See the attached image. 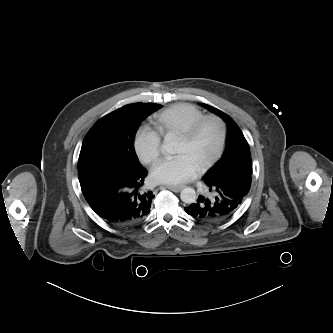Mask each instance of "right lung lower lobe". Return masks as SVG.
I'll list each match as a JSON object with an SVG mask.
<instances>
[{"label":"right lung lower lobe","instance_id":"1","mask_svg":"<svg viewBox=\"0 0 333 333\" xmlns=\"http://www.w3.org/2000/svg\"><path fill=\"white\" fill-rule=\"evenodd\" d=\"M146 169L87 164L78 167L82 193L90 207L107 222L128 226L140 222L150 212L154 197L141 187Z\"/></svg>","mask_w":333,"mask_h":333}]
</instances>
